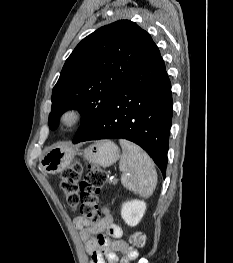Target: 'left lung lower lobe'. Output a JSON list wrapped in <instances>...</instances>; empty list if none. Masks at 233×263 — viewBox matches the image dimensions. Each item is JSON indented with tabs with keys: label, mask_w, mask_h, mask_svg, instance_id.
<instances>
[{
	"label": "left lung lower lobe",
	"mask_w": 233,
	"mask_h": 263,
	"mask_svg": "<svg viewBox=\"0 0 233 263\" xmlns=\"http://www.w3.org/2000/svg\"><path fill=\"white\" fill-rule=\"evenodd\" d=\"M172 105L171 83L153 42L99 121L79 142L109 138L130 140L150 155L165 176Z\"/></svg>",
	"instance_id": "0a47b994"
}]
</instances>
